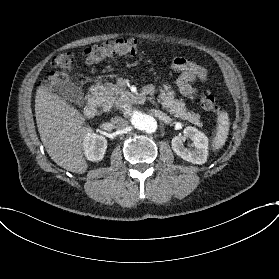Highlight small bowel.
Wrapping results in <instances>:
<instances>
[{
	"instance_id": "obj_1",
	"label": "small bowel",
	"mask_w": 279,
	"mask_h": 279,
	"mask_svg": "<svg viewBox=\"0 0 279 279\" xmlns=\"http://www.w3.org/2000/svg\"><path fill=\"white\" fill-rule=\"evenodd\" d=\"M172 67L179 73L175 81V85L179 93L186 97H194L197 91L193 84L197 80H206V69L201 65L183 57L175 58Z\"/></svg>"
}]
</instances>
